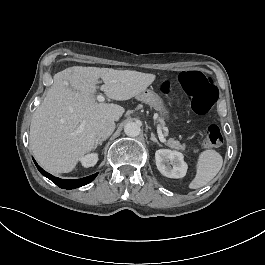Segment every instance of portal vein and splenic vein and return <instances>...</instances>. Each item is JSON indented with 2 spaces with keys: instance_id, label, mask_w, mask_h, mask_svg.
<instances>
[{
  "instance_id": "18ae733b",
  "label": "portal vein and splenic vein",
  "mask_w": 265,
  "mask_h": 265,
  "mask_svg": "<svg viewBox=\"0 0 265 265\" xmlns=\"http://www.w3.org/2000/svg\"><path fill=\"white\" fill-rule=\"evenodd\" d=\"M97 100L100 101V102H103L105 100L104 96L103 95H98L97 96ZM159 138H160V141L162 143H166V139L164 138V136L162 134L159 133Z\"/></svg>"
}]
</instances>
